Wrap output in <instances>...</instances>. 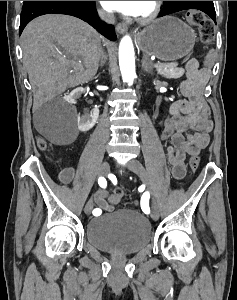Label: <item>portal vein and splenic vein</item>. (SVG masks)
<instances>
[{
	"mask_svg": "<svg viewBox=\"0 0 237 300\" xmlns=\"http://www.w3.org/2000/svg\"><path fill=\"white\" fill-rule=\"evenodd\" d=\"M177 63H179V62H177V61H174V60H172L170 63H160V64H170V65H160L159 63H156V64H159V65H156L155 67L156 68H170V69H174V68H177Z\"/></svg>",
	"mask_w": 237,
	"mask_h": 300,
	"instance_id": "obj_1",
	"label": "portal vein and splenic vein"
}]
</instances>
